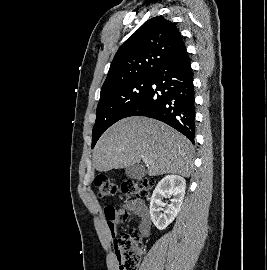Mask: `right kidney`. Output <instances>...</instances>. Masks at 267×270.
Wrapping results in <instances>:
<instances>
[{
    "mask_svg": "<svg viewBox=\"0 0 267 270\" xmlns=\"http://www.w3.org/2000/svg\"><path fill=\"white\" fill-rule=\"evenodd\" d=\"M185 189V179L178 175H167L158 182L150 201V217L157 229L164 230L174 221L181 209ZM171 196V204L162 212L165 206L163 198Z\"/></svg>",
    "mask_w": 267,
    "mask_h": 270,
    "instance_id": "ca27d5eb",
    "label": "right kidney"
}]
</instances>
